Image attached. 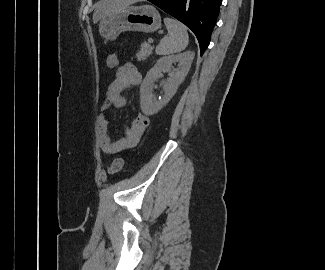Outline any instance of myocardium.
<instances>
[{
  "label": "myocardium",
  "instance_id": "f54148a6",
  "mask_svg": "<svg viewBox=\"0 0 325 270\" xmlns=\"http://www.w3.org/2000/svg\"><path fill=\"white\" fill-rule=\"evenodd\" d=\"M137 1H144V0H127V2H137Z\"/></svg>",
  "mask_w": 325,
  "mask_h": 270
}]
</instances>
